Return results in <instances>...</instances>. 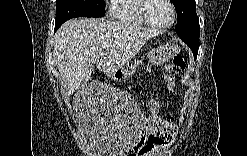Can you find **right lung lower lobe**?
I'll return each instance as SVG.
<instances>
[{
	"label": "right lung lower lobe",
	"mask_w": 247,
	"mask_h": 156,
	"mask_svg": "<svg viewBox=\"0 0 247 156\" xmlns=\"http://www.w3.org/2000/svg\"><path fill=\"white\" fill-rule=\"evenodd\" d=\"M58 29V27H55V30H57Z\"/></svg>",
	"instance_id": "right-lung-lower-lobe-1"
}]
</instances>
